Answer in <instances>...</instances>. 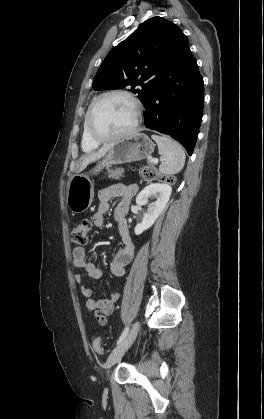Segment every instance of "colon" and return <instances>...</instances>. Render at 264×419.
Instances as JSON below:
<instances>
[{"instance_id":"5ec220e1","label":"colon","mask_w":264,"mask_h":419,"mask_svg":"<svg viewBox=\"0 0 264 419\" xmlns=\"http://www.w3.org/2000/svg\"><path fill=\"white\" fill-rule=\"evenodd\" d=\"M139 173L146 181L158 180L161 182H171L173 181L171 177L164 176L158 172V170L151 165H145L139 168ZM91 229V222L87 219H84L74 225L71 232L72 241L78 245H84L87 243L89 238V233ZM93 350L102 355L104 353V348L102 340L100 337H96L92 343Z\"/></svg>"}]
</instances>
